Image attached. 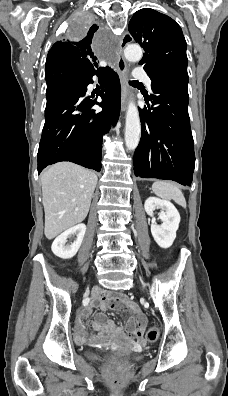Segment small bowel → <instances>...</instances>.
<instances>
[{"label":"small bowel","mask_w":228,"mask_h":396,"mask_svg":"<svg viewBox=\"0 0 228 396\" xmlns=\"http://www.w3.org/2000/svg\"><path fill=\"white\" fill-rule=\"evenodd\" d=\"M92 307L102 311L107 309L126 311L130 315L125 326H117L112 320L108 319L103 312L98 313L93 323V329L99 335H108L118 339L134 338L140 343L143 342V334L148 326V319L125 295L98 293L94 297L90 307L83 310L81 317H86ZM76 339L80 342L92 339L91 336L84 333L80 323L76 326Z\"/></svg>","instance_id":"1"}]
</instances>
